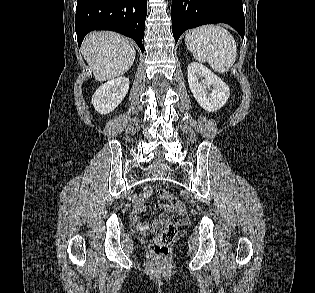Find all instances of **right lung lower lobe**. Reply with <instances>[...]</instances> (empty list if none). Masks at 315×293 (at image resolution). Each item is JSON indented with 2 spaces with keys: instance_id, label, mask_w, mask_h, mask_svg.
I'll use <instances>...</instances> for the list:
<instances>
[{
  "instance_id": "98d812e1",
  "label": "right lung lower lobe",
  "mask_w": 315,
  "mask_h": 293,
  "mask_svg": "<svg viewBox=\"0 0 315 293\" xmlns=\"http://www.w3.org/2000/svg\"><path fill=\"white\" fill-rule=\"evenodd\" d=\"M146 14L147 0H77L78 45L92 30H111L132 38L144 52Z\"/></svg>"
}]
</instances>
